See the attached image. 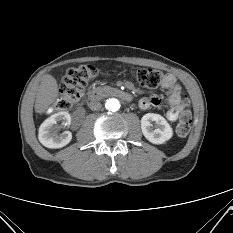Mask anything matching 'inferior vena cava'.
<instances>
[{
    "label": "inferior vena cava",
    "mask_w": 233,
    "mask_h": 233,
    "mask_svg": "<svg viewBox=\"0 0 233 233\" xmlns=\"http://www.w3.org/2000/svg\"><path fill=\"white\" fill-rule=\"evenodd\" d=\"M88 106L92 111L100 110L102 107L101 103L99 101H96V100L90 101Z\"/></svg>",
    "instance_id": "obj_1"
}]
</instances>
